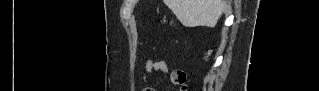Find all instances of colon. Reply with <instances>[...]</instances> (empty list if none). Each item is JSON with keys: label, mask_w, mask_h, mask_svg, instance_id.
Instances as JSON below:
<instances>
[{"label": "colon", "mask_w": 319, "mask_h": 91, "mask_svg": "<svg viewBox=\"0 0 319 91\" xmlns=\"http://www.w3.org/2000/svg\"><path fill=\"white\" fill-rule=\"evenodd\" d=\"M185 82H186V78L183 74H181L179 76L178 83L182 85V90H186Z\"/></svg>", "instance_id": "obj_1"}]
</instances>
